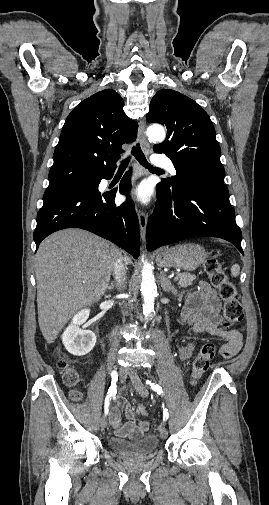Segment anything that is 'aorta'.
Here are the masks:
<instances>
[{"label": "aorta", "mask_w": 269, "mask_h": 505, "mask_svg": "<svg viewBox=\"0 0 269 505\" xmlns=\"http://www.w3.org/2000/svg\"><path fill=\"white\" fill-rule=\"evenodd\" d=\"M147 136L151 141L162 142L166 137V132L161 125H151L147 129ZM142 281L140 291L143 296V314L145 318L151 316L154 311V301L156 294V283L151 264L142 257Z\"/></svg>", "instance_id": "aorta-1"}]
</instances>
